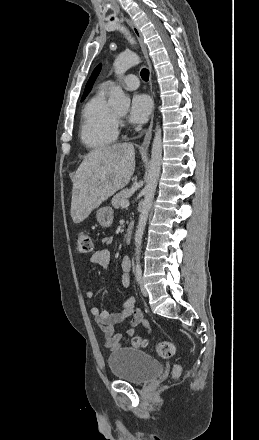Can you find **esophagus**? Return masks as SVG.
<instances>
[{
    "label": "esophagus",
    "instance_id": "1",
    "mask_svg": "<svg viewBox=\"0 0 259 440\" xmlns=\"http://www.w3.org/2000/svg\"><path fill=\"white\" fill-rule=\"evenodd\" d=\"M126 22L130 26V28L132 29L134 35L136 36V38H137V40H138V42H139V44L141 46L143 55H144V57H145V59L147 61V64H148V67H149V71H150L149 85H150L151 95H152V98H153L152 77H151V62H150V58H149V55H148L147 46H146V44L144 42L143 35H142L140 29L138 28V26L132 20H130V19H126ZM153 121H154V98H153V112H152V115H151L150 125H149V127H148V129L146 131L143 143H142L141 148H140L141 152H143V153L148 150V147L150 145L151 136H152Z\"/></svg>",
    "mask_w": 259,
    "mask_h": 440
}]
</instances>
